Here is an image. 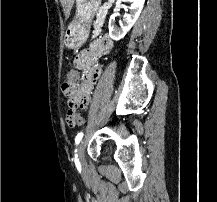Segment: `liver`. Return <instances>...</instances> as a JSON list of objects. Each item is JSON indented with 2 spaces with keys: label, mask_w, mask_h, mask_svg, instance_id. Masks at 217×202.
Instances as JSON below:
<instances>
[{
  "label": "liver",
  "mask_w": 217,
  "mask_h": 202,
  "mask_svg": "<svg viewBox=\"0 0 217 202\" xmlns=\"http://www.w3.org/2000/svg\"><path fill=\"white\" fill-rule=\"evenodd\" d=\"M63 8H64V14L66 16V18H68V16H70V12L72 10V6L75 2V0H60Z\"/></svg>",
  "instance_id": "6515ba94"
}]
</instances>
